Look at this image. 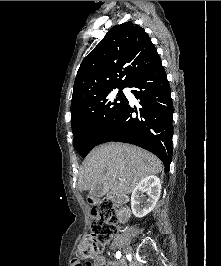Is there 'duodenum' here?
Wrapping results in <instances>:
<instances>
[{
	"label": "duodenum",
	"instance_id": "obj_1",
	"mask_svg": "<svg viewBox=\"0 0 221 266\" xmlns=\"http://www.w3.org/2000/svg\"><path fill=\"white\" fill-rule=\"evenodd\" d=\"M114 199L118 203H125L127 201V198L122 195H115ZM88 203H97L98 199L97 198H88L87 199ZM129 217V212L126 209H121L120 214H119V220L120 222H125Z\"/></svg>",
	"mask_w": 221,
	"mask_h": 266
}]
</instances>
